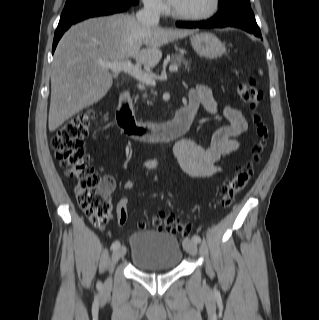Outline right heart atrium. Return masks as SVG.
I'll use <instances>...</instances> for the list:
<instances>
[{
  "label": "right heart atrium",
  "mask_w": 319,
  "mask_h": 320,
  "mask_svg": "<svg viewBox=\"0 0 319 320\" xmlns=\"http://www.w3.org/2000/svg\"><path fill=\"white\" fill-rule=\"evenodd\" d=\"M145 8L152 13L162 14L166 10L164 0H143Z\"/></svg>",
  "instance_id": "obj_1"
}]
</instances>
